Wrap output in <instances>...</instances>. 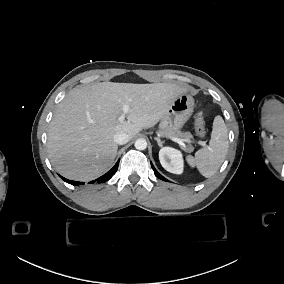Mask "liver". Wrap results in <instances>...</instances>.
Returning <instances> with one entry per match:
<instances>
[{"mask_svg":"<svg viewBox=\"0 0 284 284\" xmlns=\"http://www.w3.org/2000/svg\"><path fill=\"white\" fill-rule=\"evenodd\" d=\"M186 89L176 83L101 82L75 88L58 104L48 130V153L55 169L68 179L91 180L104 173L117 154L114 135L131 140L156 125ZM127 121L119 122L123 105Z\"/></svg>","mask_w":284,"mask_h":284,"instance_id":"1","label":"liver"}]
</instances>
